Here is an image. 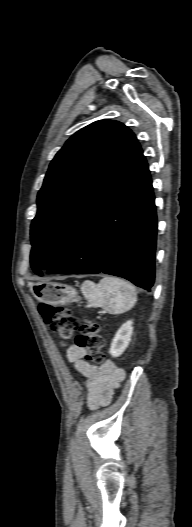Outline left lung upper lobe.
Segmentation results:
<instances>
[{
	"instance_id": "5c2ea615",
	"label": "left lung upper lobe",
	"mask_w": 192,
	"mask_h": 527,
	"mask_svg": "<svg viewBox=\"0 0 192 527\" xmlns=\"http://www.w3.org/2000/svg\"><path fill=\"white\" fill-rule=\"evenodd\" d=\"M134 133L113 120L96 121L76 132L52 160L38 193L31 224L30 262L48 269L118 179L142 156Z\"/></svg>"
}]
</instances>
